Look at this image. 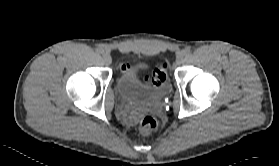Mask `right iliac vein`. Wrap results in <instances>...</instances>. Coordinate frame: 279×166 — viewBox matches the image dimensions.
<instances>
[{"label":"right iliac vein","mask_w":279,"mask_h":166,"mask_svg":"<svg viewBox=\"0 0 279 166\" xmlns=\"http://www.w3.org/2000/svg\"><path fill=\"white\" fill-rule=\"evenodd\" d=\"M102 57H103V60L106 64H111L112 58H111V56L108 52H103Z\"/></svg>","instance_id":"right-iliac-vein-1"}]
</instances>
